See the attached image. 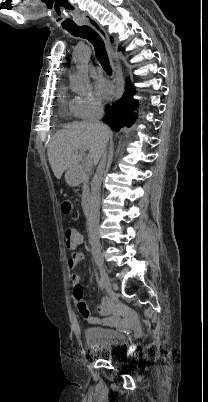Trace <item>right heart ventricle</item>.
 Instances as JSON below:
<instances>
[{
  "label": "right heart ventricle",
  "instance_id": "1",
  "mask_svg": "<svg viewBox=\"0 0 208 402\" xmlns=\"http://www.w3.org/2000/svg\"><path fill=\"white\" fill-rule=\"evenodd\" d=\"M59 103L61 108L66 111L72 118H74V122H76L75 118L78 116L75 110L74 100L68 97L66 87H62L60 90Z\"/></svg>",
  "mask_w": 208,
  "mask_h": 402
}]
</instances>
